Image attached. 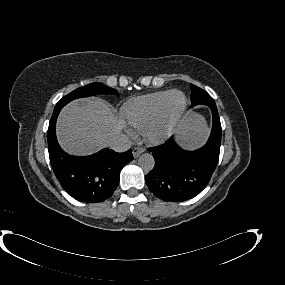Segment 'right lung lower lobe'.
Instances as JSON below:
<instances>
[{
	"label": "right lung lower lobe",
	"instance_id": "obj_1",
	"mask_svg": "<svg viewBox=\"0 0 285 285\" xmlns=\"http://www.w3.org/2000/svg\"><path fill=\"white\" fill-rule=\"evenodd\" d=\"M61 108L54 109L48 128L51 166L64 190L81 202H102L112 196L119 184L121 169L133 160L132 150L116 153L105 148L90 156L65 153L56 139V120Z\"/></svg>",
	"mask_w": 285,
	"mask_h": 285
}]
</instances>
